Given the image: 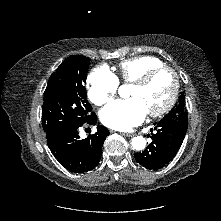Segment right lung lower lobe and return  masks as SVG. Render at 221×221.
I'll return each mask as SVG.
<instances>
[{
  "label": "right lung lower lobe",
  "instance_id": "1",
  "mask_svg": "<svg viewBox=\"0 0 221 221\" xmlns=\"http://www.w3.org/2000/svg\"><path fill=\"white\" fill-rule=\"evenodd\" d=\"M97 116L94 113L83 124L71 129L47 136V144L54 157L67 170L84 173L94 169L102 154L104 140L109 135L107 128L97 125V132L85 139H80L78 128L82 125H95Z\"/></svg>",
  "mask_w": 221,
  "mask_h": 221
}]
</instances>
